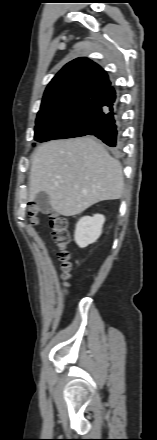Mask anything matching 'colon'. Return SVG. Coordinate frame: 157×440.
Segmentation results:
<instances>
[{
  "label": "colon",
  "instance_id": "1",
  "mask_svg": "<svg viewBox=\"0 0 157 440\" xmlns=\"http://www.w3.org/2000/svg\"><path fill=\"white\" fill-rule=\"evenodd\" d=\"M41 210L39 206L36 203H31L29 205V217L30 219L35 222L37 220L38 215L40 214ZM49 215V226L51 229V235L54 243L60 248V251L58 253V257L62 262V267L64 270V276L65 278L68 277V272L71 269V263L69 261V253L66 250L67 245L70 241V234L68 230V221L67 219L52 211H48ZM65 286H67V283H65Z\"/></svg>",
  "mask_w": 157,
  "mask_h": 440
}]
</instances>
